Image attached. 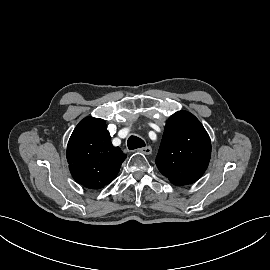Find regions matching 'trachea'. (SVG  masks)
Returning a JSON list of instances; mask_svg holds the SVG:
<instances>
[{"label": "trachea", "instance_id": "trachea-1", "mask_svg": "<svg viewBox=\"0 0 270 270\" xmlns=\"http://www.w3.org/2000/svg\"><path fill=\"white\" fill-rule=\"evenodd\" d=\"M127 146L130 150H134L137 148L145 147V142L136 136H130L127 141Z\"/></svg>", "mask_w": 270, "mask_h": 270}]
</instances>
